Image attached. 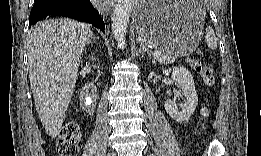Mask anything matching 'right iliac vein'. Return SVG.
Instances as JSON below:
<instances>
[{
	"instance_id": "obj_1",
	"label": "right iliac vein",
	"mask_w": 261,
	"mask_h": 156,
	"mask_svg": "<svg viewBox=\"0 0 261 156\" xmlns=\"http://www.w3.org/2000/svg\"><path fill=\"white\" fill-rule=\"evenodd\" d=\"M109 156H114V153H110Z\"/></svg>"
}]
</instances>
